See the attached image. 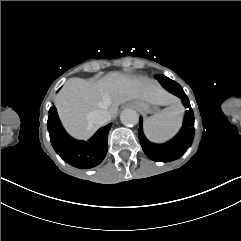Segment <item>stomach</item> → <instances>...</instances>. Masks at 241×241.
I'll return each mask as SVG.
<instances>
[{
	"mask_svg": "<svg viewBox=\"0 0 241 241\" xmlns=\"http://www.w3.org/2000/svg\"><path fill=\"white\" fill-rule=\"evenodd\" d=\"M134 105L139 107L140 109H142L145 112H149L150 111V106L148 102H144V101H134Z\"/></svg>",
	"mask_w": 241,
	"mask_h": 241,
	"instance_id": "stomach-1",
	"label": "stomach"
}]
</instances>
